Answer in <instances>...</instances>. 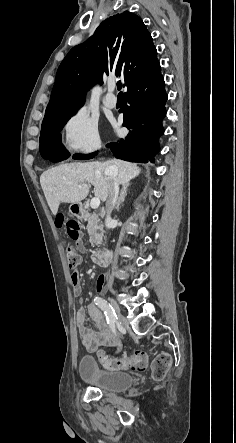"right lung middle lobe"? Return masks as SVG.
Instances as JSON below:
<instances>
[{
  "label": "right lung middle lobe",
  "mask_w": 236,
  "mask_h": 443,
  "mask_svg": "<svg viewBox=\"0 0 236 443\" xmlns=\"http://www.w3.org/2000/svg\"><path fill=\"white\" fill-rule=\"evenodd\" d=\"M76 111L77 109L43 120L40 134V151L49 147L62 145L60 131Z\"/></svg>",
  "instance_id": "1"
}]
</instances>
